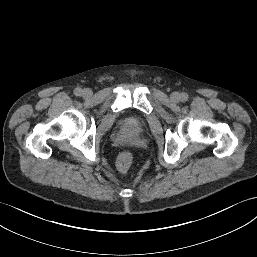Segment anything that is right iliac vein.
<instances>
[{"label": "right iliac vein", "mask_w": 257, "mask_h": 257, "mask_svg": "<svg viewBox=\"0 0 257 257\" xmlns=\"http://www.w3.org/2000/svg\"><path fill=\"white\" fill-rule=\"evenodd\" d=\"M82 94H83L84 97L88 98L92 95V91L90 89L86 88L82 91Z\"/></svg>", "instance_id": "1"}]
</instances>
